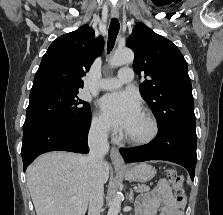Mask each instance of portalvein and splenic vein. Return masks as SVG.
<instances>
[{"mask_svg":"<svg viewBox=\"0 0 223 215\" xmlns=\"http://www.w3.org/2000/svg\"><path fill=\"white\" fill-rule=\"evenodd\" d=\"M132 188L135 190V189H138V186L134 185ZM72 199H77V197H72Z\"/></svg>","mask_w":223,"mask_h":215,"instance_id":"18ae733b","label":"portal vein and splenic vein"}]
</instances>
